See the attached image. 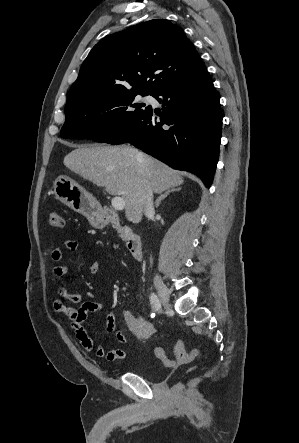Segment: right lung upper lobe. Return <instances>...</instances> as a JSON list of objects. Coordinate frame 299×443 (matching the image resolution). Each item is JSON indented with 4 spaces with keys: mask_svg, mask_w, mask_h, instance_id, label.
Masks as SVG:
<instances>
[{
    "mask_svg": "<svg viewBox=\"0 0 299 443\" xmlns=\"http://www.w3.org/2000/svg\"><path fill=\"white\" fill-rule=\"evenodd\" d=\"M204 68L181 28L165 19L150 20L108 35L92 48L66 105L124 92L154 94Z\"/></svg>",
    "mask_w": 299,
    "mask_h": 443,
    "instance_id": "1",
    "label": "right lung upper lobe"
}]
</instances>
